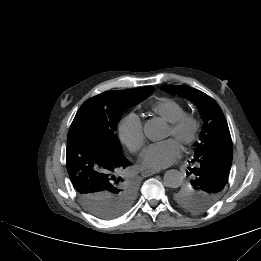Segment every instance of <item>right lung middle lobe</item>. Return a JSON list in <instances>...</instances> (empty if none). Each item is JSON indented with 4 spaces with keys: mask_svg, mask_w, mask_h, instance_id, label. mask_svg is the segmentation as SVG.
<instances>
[{
    "mask_svg": "<svg viewBox=\"0 0 261 261\" xmlns=\"http://www.w3.org/2000/svg\"><path fill=\"white\" fill-rule=\"evenodd\" d=\"M153 91V87L138 92L109 91L86 100L70 126L68 137L89 136L110 150L121 151L114 131L122 111L145 100ZM135 195V183L118 174L111 184L97 186L87 197H78L89 213L109 220L122 215L133 203Z\"/></svg>",
    "mask_w": 261,
    "mask_h": 261,
    "instance_id": "dd1d6c3e",
    "label": "right lung middle lobe"
}]
</instances>
